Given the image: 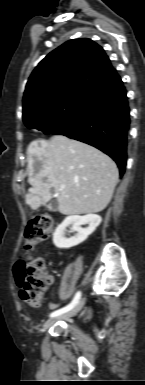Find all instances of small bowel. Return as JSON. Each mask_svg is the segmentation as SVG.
<instances>
[{
  "instance_id": "obj_1",
  "label": "small bowel",
  "mask_w": 145,
  "mask_h": 385,
  "mask_svg": "<svg viewBox=\"0 0 145 385\" xmlns=\"http://www.w3.org/2000/svg\"><path fill=\"white\" fill-rule=\"evenodd\" d=\"M49 278H50V282H51V284L53 283V277L52 276H49ZM57 305L56 304H50V307L51 308H54V307H56Z\"/></svg>"
}]
</instances>
